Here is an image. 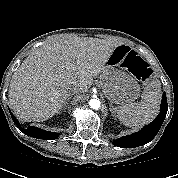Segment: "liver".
Returning a JSON list of instances; mask_svg holds the SVG:
<instances>
[{
  "instance_id": "6515ba94",
  "label": "liver",
  "mask_w": 178,
  "mask_h": 178,
  "mask_svg": "<svg viewBox=\"0 0 178 178\" xmlns=\"http://www.w3.org/2000/svg\"><path fill=\"white\" fill-rule=\"evenodd\" d=\"M121 42L98 38H53L33 50L14 72L9 102L25 122L58 114L72 90L84 93Z\"/></svg>"
}]
</instances>
